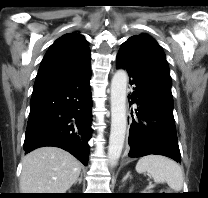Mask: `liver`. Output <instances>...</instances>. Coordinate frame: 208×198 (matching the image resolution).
Returning <instances> with one entry per match:
<instances>
[{
  "label": "liver",
  "mask_w": 208,
  "mask_h": 198,
  "mask_svg": "<svg viewBox=\"0 0 208 198\" xmlns=\"http://www.w3.org/2000/svg\"><path fill=\"white\" fill-rule=\"evenodd\" d=\"M80 162L57 147H41L22 160V193H65L78 179Z\"/></svg>",
  "instance_id": "liver-1"
}]
</instances>
